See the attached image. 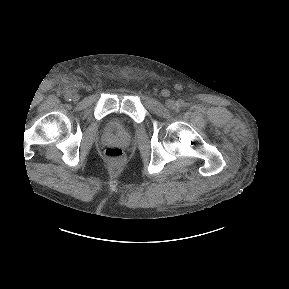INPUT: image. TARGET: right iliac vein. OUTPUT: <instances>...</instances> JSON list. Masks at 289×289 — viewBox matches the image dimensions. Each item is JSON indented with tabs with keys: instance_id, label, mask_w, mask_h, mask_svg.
Instances as JSON below:
<instances>
[{
	"instance_id": "obj_1",
	"label": "right iliac vein",
	"mask_w": 289,
	"mask_h": 289,
	"mask_svg": "<svg viewBox=\"0 0 289 289\" xmlns=\"http://www.w3.org/2000/svg\"><path fill=\"white\" fill-rule=\"evenodd\" d=\"M80 99V96L78 95V94H75L74 96H73V100L74 101H78Z\"/></svg>"
}]
</instances>
